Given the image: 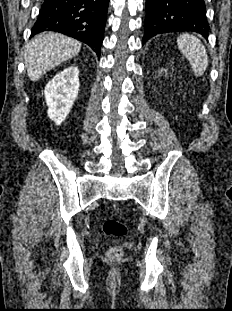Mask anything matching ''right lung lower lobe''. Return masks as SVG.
Returning a JSON list of instances; mask_svg holds the SVG:
<instances>
[{
    "instance_id": "1",
    "label": "right lung lower lobe",
    "mask_w": 232,
    "mask_h": 311,
    "mask_svg": "<svg viewBox=\"0 0 232 311\" xmlns=\"http://www.w3.org/2000/svg\"><path fill=\"white\" fill-rule=\"evenodd\" d=\"M109 0H44L31 37L63 33L88 44L100 56Z\"/></svg>"
}]
</instances>
